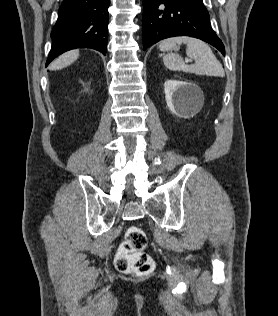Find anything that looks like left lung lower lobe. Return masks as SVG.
Wrapping results in <instances>:
<instances>
[{"mask_svg": "<svg viewBox=\"0 0 278 316\" xmlns=\"http://www.w3.org/2000/svg\"><path fill=\"white\" fill-rule=\"evenodd\" d=\"M142 28L144 50L168 37L191 36L225 55L202 0H143Z\"/></svg>", "mask_w": 278, "mask_h": 316, "instance_id": "0a47b994", "label": "left lung lower lobe"}]
</instances>
